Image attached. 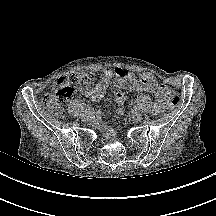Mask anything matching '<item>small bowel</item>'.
<instances>
[{"label":"small bowel","instance_id":"small-bowel-1","mask_svg":"<svg viewBox=\"0 0 216 216\" xmlns=\"http://www.w3.org/2000/svg\"><path fill=\"white\" fill-rule=\"evenodd\" d=\"M109 87H113L116 90L115 101L119 105H122L126 99L124 93L121 91L122 89L146 91L155 94L156 103L153 106L155 113L162 111L163 103L166 100L169 90L159 85L150 73H143L139 77H136L122 68H116L114 71L105 69L100 81L96 85L84 84L80 87V92L91 102H97L104 96Z\"/></svg>","mask_w":216,"mask_h":216}]
</instances>
